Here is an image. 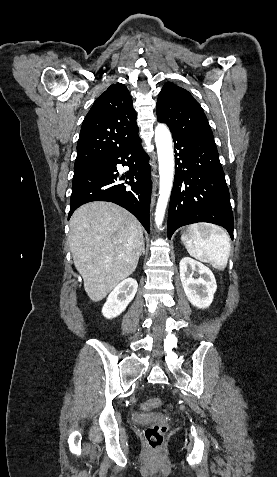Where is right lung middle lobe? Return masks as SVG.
<instances>
[{
  "label": "right lung middle lobe",
  "instance_id": "dd1d6c3e",
  "mask_svg": "<svg viewBox=\"0 0 277 477\" xmlns=\"http://www.w3.org/2000/svg\"><path fill=\"white\" fill-rule=\"evenodd\" d=\"M87 168H88V167H86V168H76V169H74V176L77 175L78 173H80V172L86 170Z\"/></svg>",
  "mask_w": 277,
  "mask_h": 477
}]
</instances>
